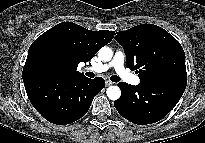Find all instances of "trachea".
Here are the masks:
<instances>
[{
  "label": "trachea",
  "mask_w": 205,
  "mask_h": 143,
  "mask_svg": "<svg viewBox=\"0 0 205 143\" xmlns=\"http://www.w3.org/2000/svg\"><path fill=\"white\" fill-rule=\"evenodd\" d=\"M88 76L94 77V74L91 73V72H89V73H88ZM110 80L113 81V82H118V81H120V78H119L118 76L114 75V76H111V77H110Z\"/></svg>",
  "instance_id": "3493384b"
}]
</instances>
